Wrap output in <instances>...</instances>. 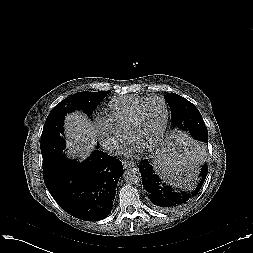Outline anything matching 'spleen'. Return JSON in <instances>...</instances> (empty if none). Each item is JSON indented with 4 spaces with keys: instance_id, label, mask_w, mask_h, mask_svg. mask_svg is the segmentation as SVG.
<instances>
[{
    "instance_id": "obj_1",
    "label": "spleen",
    "mask_w": 253,
    "mask_h": 253,
    "mask_svg": "<svg viewBox=\"0 0 253 253\" xmlns=\"http://www.w3.org/2000/svg\"><path fill=\"white\" fill-rule=\"evenodd\" d=\"M157 163L164 182L179 189H188L201 178L206 157L193 137L176 133L165 141Z\"/></svg>"
}]
</instances>
